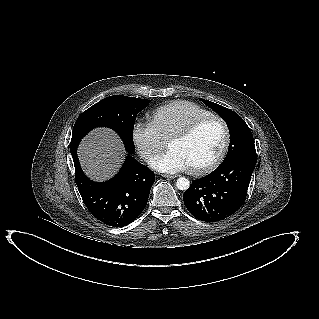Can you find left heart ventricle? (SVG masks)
<instances>
[{
    "label": "left heart ventricle",
    "instance_id": "obj_1",
    "mask_svg": "<svg viewBox=\"0 0 319 319\" xmlns=\"http://www.w3.org/2000/svg\"><path fill=\"white\" fill-rule=\"evenodd\" d=\"M224 139L222 127L216 121L201 125L189 138L172 142L169 147L178 151L188 168L201 167L219 153Z\"/></svg>",
    "mask_w": 319,
    "mask_h": 319
}]
</instances>
